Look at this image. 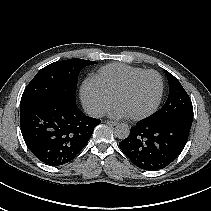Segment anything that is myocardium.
Returning a JSON list of instances; mask_svg holds the SVG:
<instances>
[{
	"instance_id": "myocardium-1",
	"label": "myocardium",
	"mask_w": 211,
	"mask_h": 211,
	"mask_svg": "<svg viewBox=\"0 0 211 211\" xmlns=\"http://www.w3.org/2000/svg\"><path fill=\"white\" fill-rule=\"evenodd\" d=\"M149 73H152V74H155L158 79H159V83H160V89H159V94H158V97H157V100L155 102V104L146 112L144 113H141V114H138V115H133V116H129V118H131L132 120H142V119H145L149 116H151L152 114H154L157 109L159 108L160 104H161V101H162V98H163V94H164V80H163V77L162 75L154 70V69H147V70H144L134 76H132L131 78H129L123 85H121L113 94L112 98H113V101L116 100V98L121 95L122 93L126 92L128 89H130V87L139 79L141 78L142 76L146 75V74H149Z\"/></svg>"
}]
</instances>
